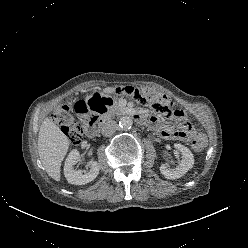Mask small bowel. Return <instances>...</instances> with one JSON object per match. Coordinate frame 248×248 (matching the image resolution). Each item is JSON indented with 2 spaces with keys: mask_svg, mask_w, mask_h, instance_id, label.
<instances>
[{
  "mask_svg": "<svg viewBox=\"0 0 248 248\" xmlns=\"http://www.w3.org/2000/svg\"><path fill=\"white\" fill-rule=\"evenodd\" d=\"M148 123L165 139L180 141H190L195 138L206 139L202 132L195 130L186 120H182L178 128L162 125L155 117H148Z\"/></svg>",
  "mask_w": 248,
  "mask_h": 248,
  "instance_id": "c3829d8e",
  "label": "small bowel"
}]
</instances>
